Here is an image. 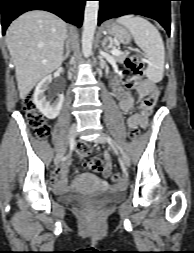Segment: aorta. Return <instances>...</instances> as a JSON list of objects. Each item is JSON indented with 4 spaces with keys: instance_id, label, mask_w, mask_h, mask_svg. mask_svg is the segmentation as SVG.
<instances>
[{
    "instance_id": "aorta-1",
    "label": "aorta",
    "mask_w": 194,
    "mask_h": 253,
    "mask_svg": "<svg viewBox=\"0 0 194 253\" xmlns=\"http://www.w3.org/2000/svg\"><path fill=\"white\" fill-rule=\"evenodd\" d=\"M99 1H87L84 11V24L82 33V53L85 58L92 54V44L97 26Z\"/></svg>"
}]
</instances>
